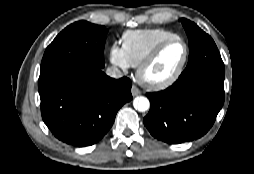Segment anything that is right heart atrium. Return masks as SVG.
Returning <instances> with one entry per match:
<instances>
[{
	"label": "right heart atrium",
	"instance_id": "1",
	"mask_svg": "<svg viewBox=\"0 0 254 174\" xmlns=\"http://www.w3.org/2000/svg\"><path fill=\"white\" fill-rule=\"evenodd\" d=\"M108 55L111 64L115 67L124 71H127L131 67L122 46L119 44L113 43L109 48Z\"/></svg>",
	"mask_w": 254,
	"mask_h": 174
}]
</instances>
